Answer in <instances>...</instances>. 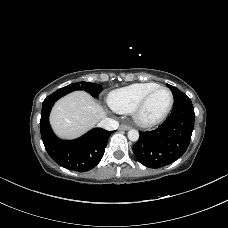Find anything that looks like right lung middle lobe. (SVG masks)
Listing matches in <instances>:
<instances>
[{
  "instance_id": "1",
  "label": "right lung middle lobe",
  "mask_w": 228,
  "mask_h": 228,
  "mask_svg": "<svg viewBox=\"0 0 228 228\" xmlns=\"http://www.w3.org/2000/svg\"><path fill=\"white\" fill-rule=\"evenodd\" d=\"M74 90H84L91 94L93 97H98L100 92L102 91V86L96 83H89V82H77L70 84L68 86H65L61 89H58L56 94L66 95Z\"/></svg>"
}]
</instances>
